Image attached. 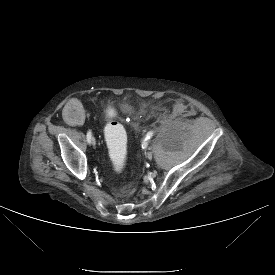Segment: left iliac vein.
<instances>
[{"label": "left iliac vein", "instance_id": "obj_1", "mask_svg": "<svg viewBox=\"0 0 275 275\" xmlns=\"http://www.w3.org/2000/svg\"><path fill=\"white\" fill-rule=\"evenodd\" d=\"M147 156L148 158H152V152H148Z\"/></svg>", "mask_w": 275, "mask_h": 275}]
</instances>
